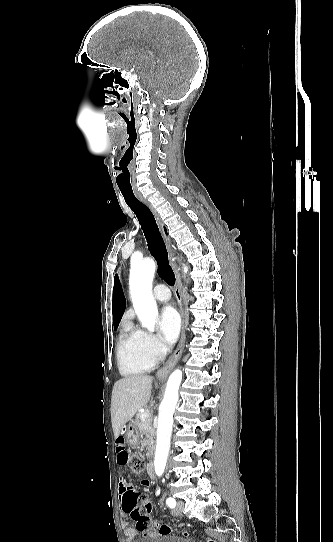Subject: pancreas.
<instances>
[{
	"instance_id": "pancreas-1",
	"label": "pancreas",
	"mask_w": 333,
	"mask_h": 542,
	"mask_svg": "<svg viewBox=\"0 0 333 542\" xmlns=\"http://www.w3.org/2000/svg\"><path fill=\"white\" fill-rule=\"evenodd\" d=\"M144 414V412H138L136 414V420L135 424L139 430V434L142 438L141 444H144L146 450H147V458H152L154 448H155V440L154 436L156 434L154 428H152V420L151 418H145V420H142L141 416ZM145 436V440H144Z\"/></svg>"
}]
</instances>
